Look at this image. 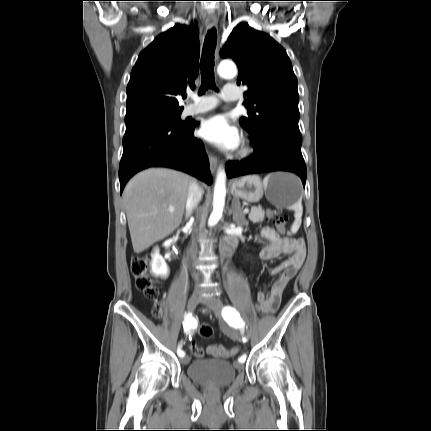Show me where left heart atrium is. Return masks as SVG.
Returning <instances> with one entry per match:
<instances>
[{"instance_id":"1","label":"left heart atrium","mask_w":431,"mask_h":431,"mask_svg":"<svg viewBox=\"0 0 431 431\" xmlns=\"http://www.w3.org/2000/svg\"><path fill=\"white\" fill-rule=\"evenodd\" d=\"M200 135L207 141L226 149H235L240 143L238 130L219 115L210 117L202 123Z\"/></svg>"}]
</instances>
